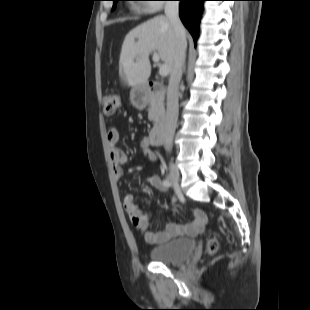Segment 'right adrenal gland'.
Masks as SVG:
<instances>
[{
	"label": "right adrenal gland",
	"mask_w": 310,
	"mask_h": 310,
	"mask_svg": "<svg viewBox=\"0 0 310 310\" xmlns=\"http://www.w3.org/2000/svg\"><path fill=\"white\" fill-rule=\"evenodd\" d=\"M185 70H186V64L184 63V65H183V72H185Z\"/></svg>",
	"instance_id": "obj_1"
}]
</instances>
